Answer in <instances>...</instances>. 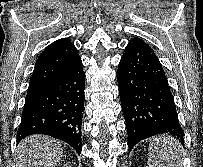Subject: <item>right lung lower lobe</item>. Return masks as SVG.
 <instances>
[{
    "instance_id": "right-lung-lower-lobe-1",
    "label": "right lung lower lobe",
    "mask_w": 203,
    "mask_h": 167,
    "mask_svg": "<svg viewBox=\"0 0 203 167\" xmlns=\"http://www.w3.org/2000/svg\"><path fill=\"white\" fill-rule=\"evenodd\" d=\"M85 74L81 58L43 87L28 91L17 143L33 134L60 139L81 152Z\"/></svg>"
}]
</instances>
